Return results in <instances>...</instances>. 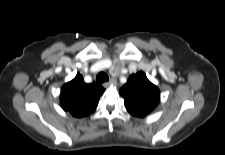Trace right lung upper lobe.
I'll return each mask as SVG.
<instances>
[{
    "instance_id": "cb5924a9",
    "label": "right lung upper lobe",
    "mask_w": 225,
    "mask_h": 155,
    "mask_svg": "<svg viewBox=\"0 0 225 155\" xmlns=\"http://www.w3.org/2000/svg\"><path fill=\"white\" fill-rule=\"evenodd\" d=\"M104 91L102 86H97L94 82L86 84L82 75L78 73L62 87L60 105L76 118L85 117L95 111Z\"/></svg>"
}]
</instances>
